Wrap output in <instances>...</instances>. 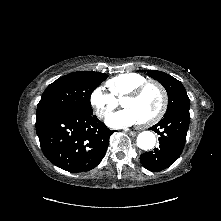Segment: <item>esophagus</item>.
Returning a JSON list of instances; mask_svg holds the SVG:
<instances>
[{
  "label": "esophagus",
  "instance_id": "obj_1",
  "mask_svg": "<svg viewBox=\"0 0 221 221\" xmlns=\"http://www.w3.org/2000/svg\"><path fill=\"white\" fill-rule=\"evenodd\" d=\"M129 134H130L131 136H136L137 133L134 132V131H130Z\"/></svg>",
  "mask_w": 221,
  "mask_h": 221
}]
</instances>
